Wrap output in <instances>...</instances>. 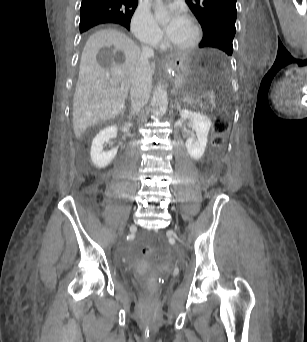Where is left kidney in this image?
<instances>
[{
	"mask_svg": "<svg viewBox=\"0 0 307 342\" xmlns=\"http://www.w3.org/2000/svg\"><path fill=\"white\" fill-rule=\"evenodd\" d=\"M180 118L190 120L192 130L196 138H188L185 142L186 150L193 160H201L208 142V134L211 128V120L208 116L200 112H191V110H180Z\"/></svg>",
	"mask_w": 307,
	"mask_h": 342,
	"instance_id": "5707ae66",
	"label": "left kidney"
}]
</instances>
